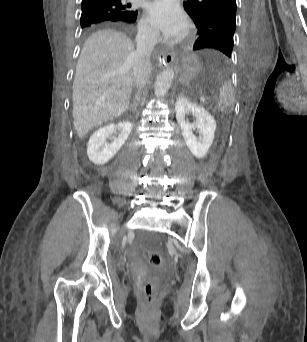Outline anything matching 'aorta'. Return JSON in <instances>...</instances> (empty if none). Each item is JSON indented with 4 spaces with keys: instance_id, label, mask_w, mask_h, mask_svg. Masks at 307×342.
<instances>
[{
    "instance_id": "1",
    "label": "aorta",
    "mask_w": 307,
    "mask_h": 342,
    "mask_svg": "<svg viewBox=\"0 0 307 342\" xmlns=\"http://www.w3.org/2000/svg\"><path fill=\"white\" fill-rule=\"evenodd\" d=\"M174 78L173 70H164L161 72L159 76L156 78V82L154 84V94L156 98L162 100L163 96H166Z\"/></svg>"
}]
</instances>
